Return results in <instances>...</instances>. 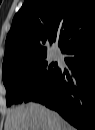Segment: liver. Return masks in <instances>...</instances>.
Instances as JSON below:
<instances>
[{"label":"liver","instance_id":"obj_1","mask_svg":"<svg viewBox=\"0 0 95 130\" xmlns=\"http://www.w3.org/2000/svg\"><path fill=\"white\" fill-rule=\"evenodd\" d=\"M5 130H73L57 112L37 103L13 108L6 120Z\"/></svg>","mask_w":95,"mask_h":130}]
</instances>
